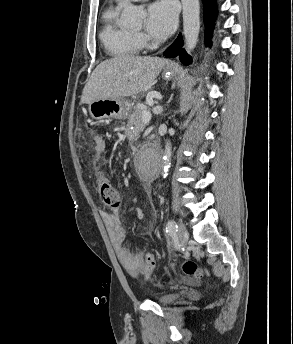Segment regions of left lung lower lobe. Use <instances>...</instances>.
Returning a JSON list of instances; mask_svg holds the SVG:
<instances>
[{"label":"left lung lower lobe","mask_w":293,"mask_h":344,"mask_svg":"<svg viewBox=\"0 0 293 344\" xmlns=\"http://www.w3.org/2000/svg\"><path fill=\"white\" fill-rule=\"evenodd\" d=\"M204 4V21H205V41L206 46H211V38H212V30L214 26V21L216 17V10H215V0H203ZM182 36L179 34L177 39L170 45L164 52V56L174 58L179 56L180 61L184 65H188L191 63V57L187 54L185 49L182 48Z\"/></svg>","instance_id":"obj_1"}]
</instances>
